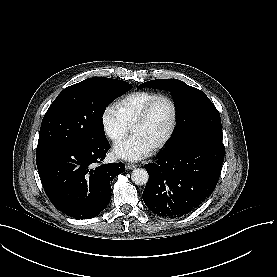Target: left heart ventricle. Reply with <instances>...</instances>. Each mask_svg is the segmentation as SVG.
<instances>
[{
  "label": "left heart ventricle",
  "mask_w": 277,
  "mask_h": 277,
  "mask_svg": "<svg viewBox=\"0 0 277 277\" xmlns=\"http://www.w3.org/2000/svg\"><path fill=\"white\" fill-rule=\"evenodd\" d=\"M170 117V108L163 101L156 102L148 113L147 120L141 128L142 137L149 143L158 140L164 133Z\"/></svg>",
  "instance_id": "left-heart-ventricle-1"
}]
</instances>
